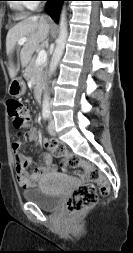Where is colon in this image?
<instances>
[{"label": "colon", "instance_id": "5ec220e1", "mask_svg": "<svg viewBox=\"0 0 133 253\" xmlns=\"http://www.w3.org/2000/svg\"><path fill=\"white\" fill-rule=\"evenodd\" d=\"M8 115L13 126L16 129H23L29 122V110L19 100L10 98L6 101ZM25 135V134H24ZM50 151L63 158V165L76 168L83 167L86 176L92 182L98 185L102 194L109 192V182L106 177L94 166L84 163L77 155L68 153L65 146L56 140L47 142ZM84 184L78 187L66 201V210L70 213L84 211L93 207L98 199L97 190L94 184Z\"/></svg>", "mask_w": 133, "mask_h": 253}]
</instances>
